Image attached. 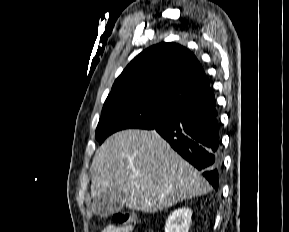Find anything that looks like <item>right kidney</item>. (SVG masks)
Segmentation results:
<instances>
[{
	"label": "right kidney",
	"mask_w": 289,
	"mask_h": 232,
	"mask_svg": "<svg viewBox=\"0 0 289 232\" xmlns=\"http://www.w3.org/2000/svg\"><path fill=\"white\" fill-rule=\"evenodd\" d=\"M191 216L192 211L189 208L174 210L166 221L165 232H188Z\"/></svg>",
	"instance_id": "ca27d5eb"
}]
</instances>
